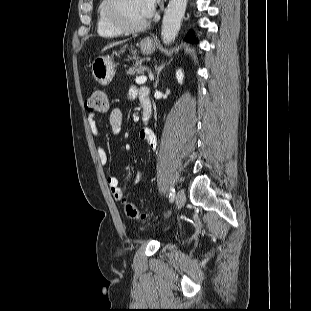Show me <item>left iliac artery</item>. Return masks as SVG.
Segmentation results:
<instances>
[{
  "label": "left iliac artery",
  "instance_id": "obj_1",
  "mask_svg": "<svg viewBox=\"0 0 311 311\" xmlns=\"http://www.w3.org/2000/svg\"><path fill=\"white\" fill-rule=\"evenodd\" d=\"M170 191L171 192L169 194V198H170V201L173 202L174 197H175V189L173 187H171Z\"/></svg>",
  "mask_w": 311,
  "mask_h": 311
}]
</instances>
